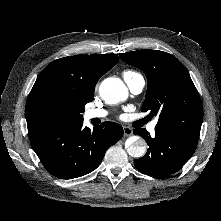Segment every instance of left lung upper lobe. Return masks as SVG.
Returning a JSON list of instances; mask_svg holds the SVG:
<instances>
[{
	"label": "left lung upper lobe",
	"instance_id": "1",
	"mask_svg": "<svg viewBox=\"0 0 221 221\" xmlns=\"http://www.w3.org/2000/svg\"><path fill=\"white\" fill-rule=\"evenodd\" d=\"M119 56L145 73L147 93L142 111L159 117L155 128L198 142L203 108L183 64L173 55L158 50L142 49Z\"/></svg>",
	"mask_w": 221,
	"mask_h": 221
}]
</instances>
